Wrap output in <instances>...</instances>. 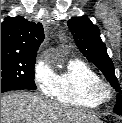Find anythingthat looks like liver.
<instances>
[{
  "instance_id": "6515ba94",
  "label": "liver",
  "mask_w": 122,
  "mask_h": 123,
  "mask_svg": "<svg viewBox=\"0 0 122 123\" xmlns=\"http://www.w3.org/2000/svg\"><path fill=\"white\" fill-rule=\"evenodd\" d=\"M1 123H101L92 112L27 91L1 96Z\"/></svg>"
}]
</instances>
